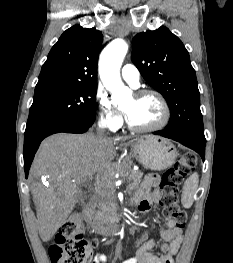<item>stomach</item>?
Segmentation results:
<instances>
[{"instance_id": "obj_1", "label": "stomach", "mask_w": 233, "mask_h": 263, "mask_svg": "<svg viewBox=\"0 0 233 263\" xmlns=\"http://www.w3.org/2000/svg\"><path fill=\"white\" fill-rule=\"evenodd\" d=\"M131 153L145 168L164 170L172 166L177 158L175 146L168 140L156 136H140L130 142Z\"/></svg>"}]
</instances>
